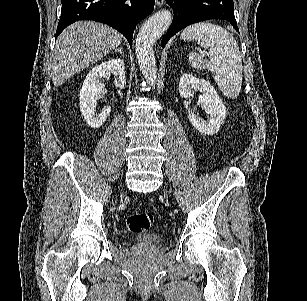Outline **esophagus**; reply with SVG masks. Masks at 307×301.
<instances>
[{"label":"esophagus","instance_id":"esophagus-1","mask_svg":"<svg viewBox=\"0 0 307 301\" xmlns=\"http://www.w3.org/2000/svg\"><path fill=\"white\" fill-rule=\"evenodd\" d=\"M165 0H155L156 5L161 6L163 5Z\"/></svg>","mask_w":307,"mask_h":301}]
</instances>
